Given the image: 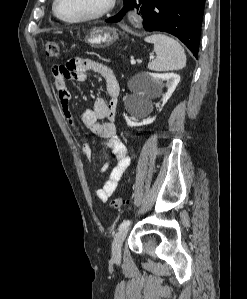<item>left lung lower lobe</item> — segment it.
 <instances>
[{
  "instance_id": "0a47b994",
  "label": "left lung lower lobe",
  "mask_w": 247,
  "mask_h": 299,
  "mask_svg": "<svg viewBox=\"0 0 247 299\" xmlns=\"http://www.w3.org/2000/svg\"><path fill=\"white\" fill-rule=\"evenodd\" d=\"M204 4L205 0H131L106 22H119L128 10L140 8L146 31L176 36L197 58Z\"/></svg>"
}]
</instances>
